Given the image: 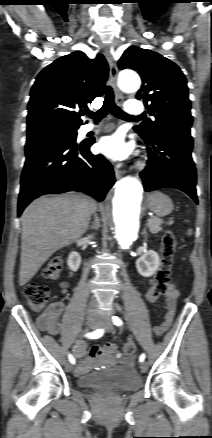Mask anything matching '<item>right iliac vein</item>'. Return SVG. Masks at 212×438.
I'll return each instance as SVG.
<instances>
[{
	"label": "right iliac vein",
	"mask_w": 212,
	"mask_h": 438,
	"mask_svg": "<svg viewBox=\"0 0 212 438\" xmlns=\"http://www.w3.org/2000/svg\"><path fill=\"white\" fill-rule=\"evenodd\" d=\"M86 323H87L89 328L94 329V328H97L99 326V319L95 314H90V315H88V317L86 319ZM65 367H66L67 371L73 370V365L71 363H67ZM74 373L76 375V371Z\"/></svg>",
	"instance_id": "right-iliac-vein-1"
}]
</instances>
